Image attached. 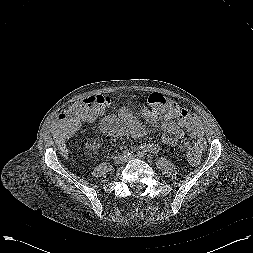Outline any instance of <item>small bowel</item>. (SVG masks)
<instances>
[{"label": "small bowel", "mask_w": 253, "mask_h": 253, "mask_svg": "<svg viewBox=\"0 0 253 253\" xmlns=\"http://www.w3.org/2000/svg\"><path fill=\"white\" fill-rule=\"evenodd\" d=\"M142 116L148 119L149 123L152 126L158 127L160 129L162 133V141L165 144L174 146L184 135L180 124L169 118L161 122H157L156 120L150 118L149 110L146 108L142 109ZM110 120L111 118H107L102 121V124L110 123ZM118 122L123 127L124 131L132 137L140 138L145 133L144 127L129 109L123 108L119 111ZM62 134L65 135L63 132ZM144 149L150 153H156L160 150L159 146L155 144H146L144 146Z\"/></svg>", "instance_id": "obj_1"}]
</instances>
